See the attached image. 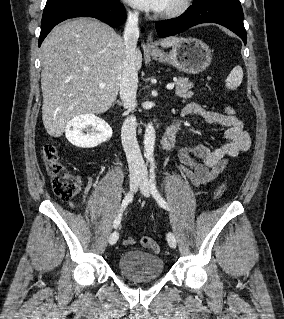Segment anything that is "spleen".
<instances>
[{"mask_svg": "<svg viewBox=\"0 0 284 319\" xmlns=\"http://www.w3.org/2000/svg\"><path fill=\"white\" fill-rule=\"evenodd\" d=\"M243 70L241 66H235L228 75L225 85L228 89H236L242 82Z\"/></svg>", "mask_w": 284, "mask_h": 319, "instance_id": "spleen-1", "label": "spleen"}]
</instances>
